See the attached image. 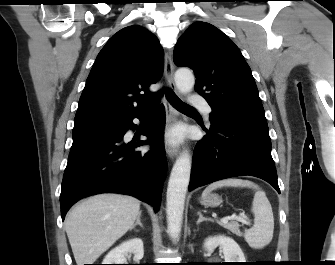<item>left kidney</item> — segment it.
Wrapping results in <instances>:
<instances>
[{
	"instance_id": "1",
	"label": "left kidney",
	"mask_w": 335,
	"mask_h": 265,
	"mask_svg": "<svg viewBox=\"0 0 335 265\" xmlns=\"http://www.w3.org/2000/svg\"><path fill=\"white\" fill-rule=\"evenodd\" d=\"M217 246L223 250L225 262H246L240 246L230 237L219 235L209 237L204 242V249L212 252Z\"/></svg>"
}]
</instances>
